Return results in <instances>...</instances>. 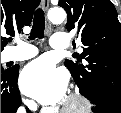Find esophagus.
I'll list each match as a JSON object with an SVG mask.
<instances>
[{"mask_svg":"<svg viewBox=\"0 0 121 113\" xmlns=\"http://www.w3.org/2000/svg\"><path fill=\"white\" fill-rule=\"evenodd\" d=\"M42 7L44 11H47L49 7V0H42Z\"/></svg>","mask_w":121,"mask_h":113,"instance_id":"esophagus-1","label":"esophagus"}]
</instances>
